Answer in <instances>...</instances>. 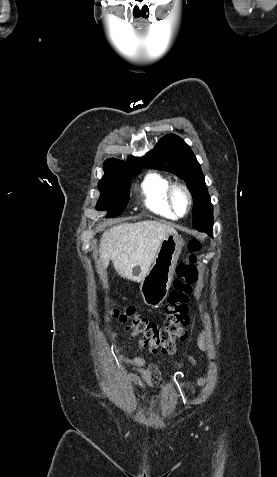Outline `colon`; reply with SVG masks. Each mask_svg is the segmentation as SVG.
<instances>
[{
	"label": "colon",
	"instance_id": "colon-1",
	"mask_svg": "<svg viewBox=\"0 0 277 477\" xmlns=\"http://www.w3.org/2000/svg\"><path fill=\"white\" fill-rule=\"evenodd\" d=\"M201 247L200 239L194 237L189 240L188 254L185 261L177 267V276L165 306L166 323L163 326L137 314L133 306L122 310L114 308L111 311L112 317L126 325L132 336L139 339L141 346L154 353H172L176 342L184 341L188 337L186 329L190 322L188 299L198 278L196 261ZM202 383L201 380L200 384Z\"/></svg>",
	"mask_w": 277,
	"mask_h": 477
}]
</instances>
